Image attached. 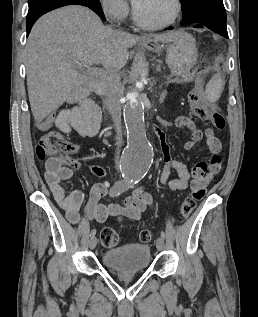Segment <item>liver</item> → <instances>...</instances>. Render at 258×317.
<instances>
[{
	"mask_svg": "<svg viewBox=\"0 0 258 317\" xmlns=\"http://www.w3.org/2000/svg\"><path fill=\"white\" fill-rule=\"evenodd\" d=\"M140 38L174 42L180 38V30L136 36L104 26L93 10L80 4L40 16L25 48L28 94L37 124L89 82V76L76 70L75 60L101 62L107 70H119L128 60V48Z\"/></svg>",
	"mask_w": 258,
	"mask_h": 317,
	"instance_id": "6515ba94",
	"label": "liver"
}]
</instances>
